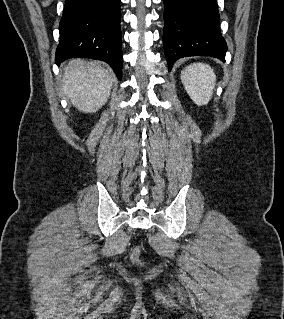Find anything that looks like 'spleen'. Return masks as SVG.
<instances>
[{
	"mask_svg": "<svg viewBox=\"0 0 284 319\" xmlns=\"http://www.w3.org/2000/svg\"><path fill=\"white\" fill-rule=\"evenodd\" d=\"M181 80L190 98L198 106L206 105L213 94L216 76L213 69L203 63H194L181 72Z\"/></svg>",
	"mask_w": 284,
	"mask_h": 319,
	"instance_id": "1",
	"label": "spleen"
}]
</instances>
